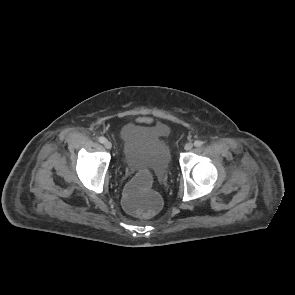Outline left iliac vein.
Returning a JSON list of instances; mask_svg holds the SVG:
<instances>
[{
	"label": "left iliac vein",
	"instance_id": "obj_1",
	"mask_svg": "<svg viewBox=\"0 0 295 295\" xmlns=\"http://www.w3.org/2000/svg\"><path fill=\"white\" fill-rule=\"evenodd\" d=\"M192 148H193V144H192L191 142L186 143L185 146H184V149H185L186 151H189V150H191Z\"/></svg>",
	"mask_w": 295,
	"mask_h": 295
}]
</instances>
